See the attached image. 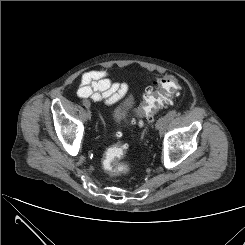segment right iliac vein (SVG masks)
<instances>
[{"label": "right iliac vein", "instance_id": "63e3f726", "mask_svg": "<svg viewBox=\"0 0 245 245\" xmlns=\"http://www.w3.org/2000/svg\"><path fill=\"white\" fill-rule=\"evenodd\" d=\"M83 105L88 109V113L86 115V118L91 119V112L89 111L91 104H90L89 100H87V99L83 100Z\"/></svg>", "mask_w": 245, "mask_h": 245}]
</instances>
